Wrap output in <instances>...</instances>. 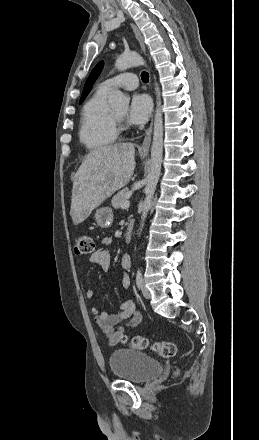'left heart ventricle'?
<instances>
[{
	"label": "left heart ventricle",
	"instance_id": "obj_1",
	"mask_svg": "<svg viewBox=\"0 0 259 440\" xmlns=\"http://www.w3.org/2000/svg\"><path fill=\"white\" fill-rule=\"evenodd\" d=\"M118 116H120V117H124V115H125V113H126V111L125 110H118V111H116L115 112Z\"/></svg>",
	"mask_w": 259,
	"mask_h": 440
}]
</instances>
